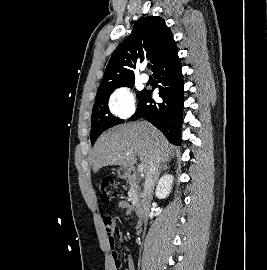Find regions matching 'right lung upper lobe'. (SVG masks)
I'll return each mask as SVG.
<instances>
[{"label":"right lung upper lobe","instance_id":"1","mask_svg":"<svg viewBox=\"0 0 267 270\" xmlns=\"http://www.w3.org/2000/svg\"><path fill=\"white\" fill-rule=\"evenodd\" d=\"M173 45L172 33L161 17L138 20L131 34L111 56L97 92L134 81V69L145 58L150 59L153 71Z\"/></svg>","mask_w":267,"mask_h":270}]
</instances>
